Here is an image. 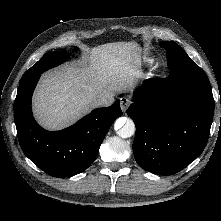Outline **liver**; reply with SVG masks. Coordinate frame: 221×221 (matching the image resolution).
I'll list each match as a JSON object with an SVG mask.
<instances>
[{
	"label": "liver",
	"mask_w": 221,
	"mask_h": 221,
	"mask_svg": "<svg viewBox=\"0 0 221 221\" xmlns=\"http://www.w3.org/2000/svg\"><path fill=\"white\" fill-rule=\"evenodd\" d=\"M82 68L64 66L41 79L33 97L40 125L59 130L74 123L100 96L132 90L141 76L140 47L135 42L107 43L90 50Z\"/></svg>",
	"instance_id": "liver-1"
}]
</instances>
